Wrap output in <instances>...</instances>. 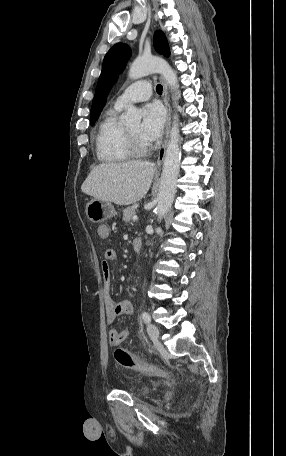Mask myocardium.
Here are the masks:
<instances>
[{
    "mask_svg": "<svg viewBox=\"0 0 286 456\" xmlns=\"http://www.w3.org/2000/svg\"><path fill=\"white\" fill-rule=\"evenodd\" d=\"M125 135L127 148L131 156L140 157L149 152L150 145L140 143L128 129H126Z\"/></svg>",
    "mask_w": 286,
    "mask_h": 456,
    "instance_id": "myocardium-1",
    "label": "myocardium"
}]
</instances>
